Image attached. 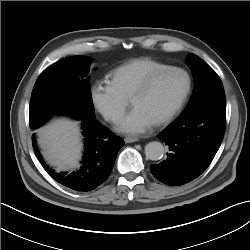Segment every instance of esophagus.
Wrapping results in <instances>:
<instances>
[{
    "label": "esophagus",
    "mask_w": 250,
    "mask_h": 250,
    "mask_svg": "<svg viewBox=\"0 0 250 250\" xmlns=\"http://www.w3.org/2000/svg\"><path fill=\"white\" fill-rule=\"evenodd\" d=\"M139 139L137 138V137H130V136H128V137H125V139H124V141L126 142V143H132V142H136V141H138Z\"/></svg>",
    "instance_id": "34e87169"
}]
</instances>
